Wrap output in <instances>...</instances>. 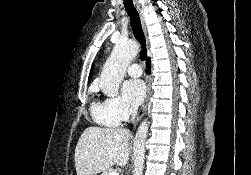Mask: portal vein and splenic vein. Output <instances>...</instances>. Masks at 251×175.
<instances>
[{
	"label": "portal vein and splenic vein",
	"instance_id": "portal-vein-and-splenic-vein-1",
	"mask_svg": "<svg viewBox=\"0 0 251 175\" xmlns=\"http://www.w3.org/2000/svg\"><path fill=\"white\" fill-rule=\"evenodd\" d=\"M110 175H119L118 171H111Z\"/></svg>",
	"mask_w": 251,
	"mask_h": 175
}]
</instances>
